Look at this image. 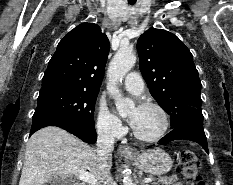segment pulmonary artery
<instances>
[{"mask_svg": "<svg viewBox=\"0 0 233 185\" xmlns=\"http://www.w3.org/2000/svg\"><path fill=\"white\" fill-rule=\"evenodd\" d=\"M125 88L134 94H141L144 90V80L138 72H129L124 79Z\"/></svg>", "mask_w": 233, "mask_h": 185, "instance_id": "pulmonary-artery-1", "label": "pulmonary artery"}]
</instances>
